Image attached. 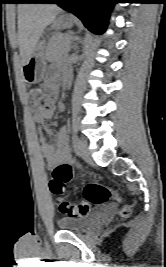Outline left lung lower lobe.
Segmentation results:
<instances>
[{
  "instance_id": "0a47b994",
  "label": "left lung lower lobe",
  "mask_w": 166,
  "mask_h": 267,
  "mask_svg": "<svg viewBox=\"0 0 166 267\" xmlns=\"http://www.w3.org/2000/svg\"><path fill=\"white\" fill-rule=\"evenodd\" d=\"M44 3H56L73 13L95 34L106 30L110 12L116 0H47Z\"/></svg>"
}]
</instances>
